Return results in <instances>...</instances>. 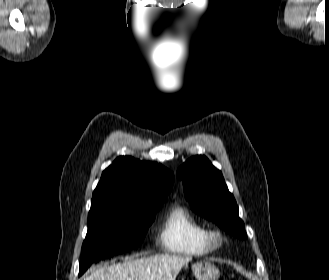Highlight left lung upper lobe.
<instances>
[{
	"label": "left lung upper lobe",
	"instance_id": "left-lung-upper-lobe-1",
	"mask_svg": "<svg viewBox=\"0 0 329 280\" xmlns=\"http://www.w3.org/2000/svg\"><path fill=\"white\" fill-rule=\"evenodd\" d=\"M177 177L183 180L184 193L192 210L235 237L247 238L234 196L222 173L205 156L190 158L178 169Z\"/></svg>",
	"mask_w": 329,
	"mask_h": 280
}]
</instances>
